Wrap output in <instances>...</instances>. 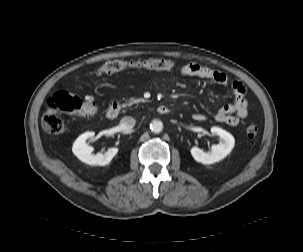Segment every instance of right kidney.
<instances>
[{"mask_svg":"<svg viewBox=\"0 0 303 252\" xmlns=\"http://www.w3.org/2000/svg\"><path fill=\"white\" fill-rule=\"evenodd\" d=\"M95 132H85L80 135L73 144L72 151L74 155L82 162L89 165L104 166L111 162L113 157L118 153V148H109L105 154H92V148L86 141L94 137Z\"/></svg>","mask_w":303,"mask_h":252,"instance_id":"obj_1","label":"right kidney"}]
</instances>
